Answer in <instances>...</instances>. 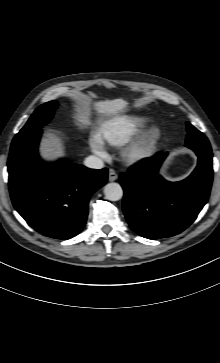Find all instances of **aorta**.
<instances>
[{
	"instance_id": "762f6f07",
	"label": "aorta",
	"mask_w": 220,
	"mask_h": 363,
	"mask_svg": "<svg viewBox=\"0 0 220 363\" xmlns=\"http://www.w3.org/2000/svg\"><path fill=\"white\" fill-rule=\"evenodd\" d=\"M104 195L110 201H118L123 196V189L118 183H108L104 187Z\"/></svg>"
}]
</instances>
